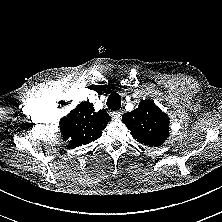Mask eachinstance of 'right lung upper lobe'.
Returning a JSON list of instances; mask_svg holds the SVG:
<instances>
[{
	"label": "right lung upper lobe",
	"instance_id": "1",
	"mask_svg": "<svg viewBox=\"0 0 222 222\" xmlns=\"http://www.w3.org/2000/svg\"><path fill=\"white\" fill-rule=\"evenodd\" d=\"M111 117L104 110L95 112L93 104L81 102L60 120L62 137L71 147H79L97 140Z\"/></svg>",
	"mask_w": 222,
	"mask_h": 222
}]
</instances>
